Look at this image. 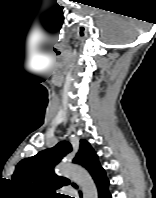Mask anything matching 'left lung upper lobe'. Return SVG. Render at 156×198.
Instances as JSON below:
<instances>
[{
  "label": "left lung upper lobe",
  "instance_id": "obj_1",
  "mask_svg": "<svg viewBox=\"0 0 156 198\" xmlns=\"http://www.w3.org/2000/svg\"><path fill=\"white\" fill-rule=\"evenodd\" d=\"M71 151V144L68 141H62L53 148L43 150L33 157L25 158L16 166L12 180L34 197H54L57 188L70 184V180L67 178L55 175L54 166ZM73 162L85 167L94 180L104 171L96 152L84 139L80 140V148ZM72 186L77 188L74 183Z\"/></svg>",
  "mask_w": 156,
  "mask_h": 198
}]
</instances>
